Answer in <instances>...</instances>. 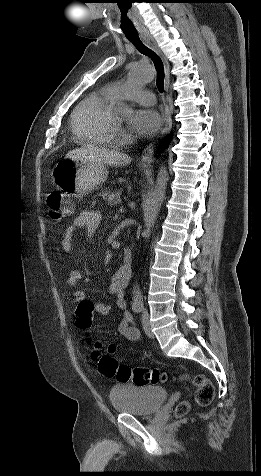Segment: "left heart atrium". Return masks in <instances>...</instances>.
I'll return each instance as SVG.
<instances>
[{"label":"left heart atrium","instance_id":"1","mask_svg":"<svg viewBox=\"0 0 261 476\" xmlns=\"http://www.w3.org/2000/svg\"><path fill=\"white\" fill-rule=\"evenodd\" d=\"M131 128L142 135L154 133L161 125L160 115L153 109L136 110L130 118Z\"/></svg>","mask_w":261,"mask_h":476}]
</instances>
